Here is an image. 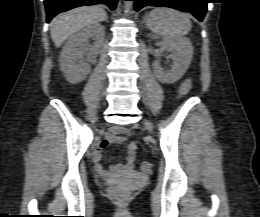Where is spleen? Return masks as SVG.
<instances>
[{
    "mask_svg": "<svg viewBox=\"0 0 260 217\" xmlns=\"http://www.w3.org/2000/svg\"><path fill=\"white\" fill-rule=\"evenodd\" d=\"M149 29L164 37H178L188 34L191 21L187 15L175 9L156 8L147 19Z\"/></svg>",
    "mask_w": 260,
    "mask_h": 217,
    "instance_id": "obj_1",
    "label": "spleen"
}]
</instances>
